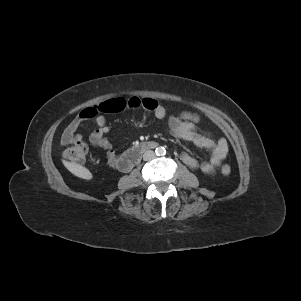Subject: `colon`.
Wrapping results in <instances>:
<instances>
[{
    "mask_svg": "<svg viewBox=\"0 0 301 301\" xmlns=\"http://www.w3.org/2000/svg\"><path fill=\"white\" fill-rule=\"evenodd\" d=\"M137 108L143 107L154 112L158 111L162 106L154 99L146 98H130L124 99L121 97L113 98L97 105L84 109L81 114L86 118H93L100 113H116L122 111L124 108ZM175 117L184 121H190L194 125H199L201 118L193 112H175ZM88 155V147L85 143L77 141L65 147L63 150V156L65 159L73 163H85ZM221 172L224 175H228L231 172V167L227 164L221 167Z\"/></svg>",
    "mask_w": 301,
    "mask_h": 301,
    "instance_id": "obj_1",
    "label": "colon"
}]
</instances>
